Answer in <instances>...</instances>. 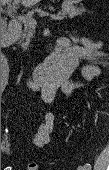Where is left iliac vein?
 <instances>
[{"mask_svg":"<svg viewBox=\"0 0 109 170\" xmlns=\"http://www.w3.org/2000/svg\"><path fill=\"white\" fill-rule=\"evenodd\" d=\"M77 170H82V166H79Z\"/></svg>","mask_w":109,"mask_h":170,"instance_id":"1","label":"left iliac vein"}]
</instances>
